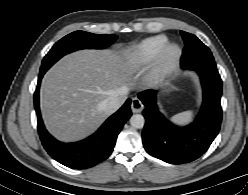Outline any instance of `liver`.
<instances>
[{
  "instance_id": "6515ba94",
  "label": "liver",
  "mask_w": 248,
  "mask_h": 195,
  "mask_svg": "<svg viewBox=\"0 0 248 195\" xmlns=\"http://www.w3.org/2000/svg\"><path fill=\"white\" fill-rule=\"evenodd\" d=\"M139 70L127 50H80L66 55L42 81L40 103L47 129L65 142L90 135L109 115L98 108L99 103L120 96V89L127 95Z\"/></svg>"
}]
</instances>
